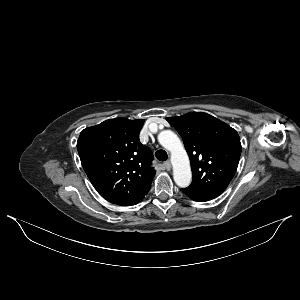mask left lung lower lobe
<instances>
[{
    "instance_id": "obj_1",
    "label": "left lung lower lobe",
    "mask_w": 300,
    "mask_h": 300,
    "mask_svg": "<svg viewBox=\"0 0 300 300\" xmlns=\"http://www.w3.org/2000/svg\"><path fill=\"white\" fill-rule=\"evenodd\" d=\"M181 191L184 194H186L188 197H190L192 200L199 201V202L209 201L219 196L214 194H205V193L197 192L189 188L181 189Z\"/></svg>"
}]
</instances>
